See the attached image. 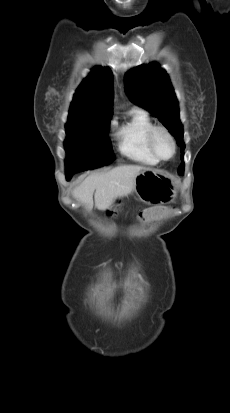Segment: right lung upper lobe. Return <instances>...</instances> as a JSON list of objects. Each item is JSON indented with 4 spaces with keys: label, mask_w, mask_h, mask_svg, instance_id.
<instances>
[{
    "label": "right lung upper lobe",
    "mask_w": 230,
    "mask_h": 413,
    "mask_svg": "<svg viewBox=\"0 0 230 413\" xmlns=\"http://www.w3.org/2000/svg\"><path fill=\"white\" fill-rule=\"evenodd\" d=\"M113 74L109 68L92 69L74 94L66 125L90 123L112 114Z\"/></svg>",
    "instance_id": "1"
}]
</instances>
